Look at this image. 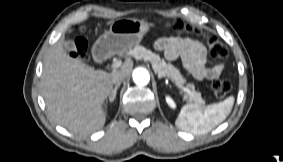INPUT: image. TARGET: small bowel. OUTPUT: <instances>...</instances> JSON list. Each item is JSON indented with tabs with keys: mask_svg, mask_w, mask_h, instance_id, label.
<instances>
[{
	"mask_svg": "<svg viewBox=\"0 0 283 162\" xmlns=\"http://www.w3.org/2000/svg\"><path fill=\"white\" fill-rule=\"evenodd\" d=\"M155 48L162 51L167 60H179L183 67L198 80L216 79L224 69L223 64L210 61L205 47L198 41L163 37L157 40Z\"/></svg>",
	"mask_w": 283,
	"mask_h": 162,
	"instance_id": "c3829d8e",
	"label": "small bowel"
}]
</instances>
